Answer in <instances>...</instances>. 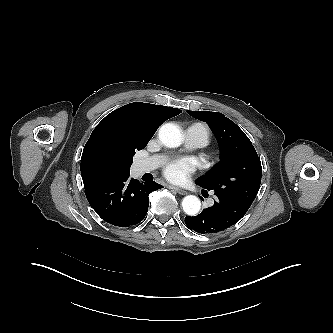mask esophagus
Here are the masks:
<instances>
[{
  "label": "esophagus",
  "mask_w": 333,
  "mask_h": 333,
  "mask_svg": "<svg viewBox=\"0 0 333 333\" xmlns=\"http://www.w3.org/2000/svg\"><path fill=\"white\" fill-rule=\"evenodd\" d=\"M168 187H169V189H172V190L176 191L178 194H181V195H186L187 194V191H185L183 189H180L176 186L169 185Z\"/></svg>",
  "instance_id": "34e87169"
}]
</instances>
